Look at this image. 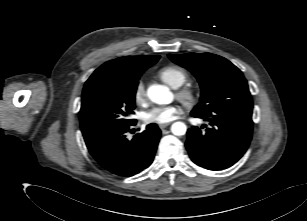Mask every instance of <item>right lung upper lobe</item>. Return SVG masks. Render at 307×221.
<instances>
[{
  "label": "right lung upper lobe",
  "instance_id": "right-lung-upper-lobe-1",
  "mask_svg": "<svg viewBox=\"0 0 307 221\" xmlns=\"http://www.w3.org/2000/svg\"><path fill=\"white\" fill-rule=\"evenodd\" d=\"M160 56H125L101 65L91 76L94 78L100 75L117 74V73H134L145 71L155 64Z\"/></svg>",
  "mask_w": 307,
  "mask_h": 221
}]
</instances>
